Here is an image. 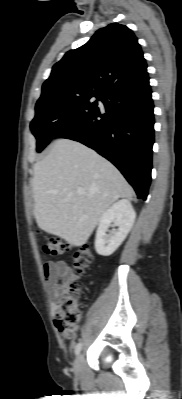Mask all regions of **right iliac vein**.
Returning a JSON list of instances; mask_svg holds the SVG:
<instances>
[{"instance_id": "63e3f726", "label": "right iliac vein", "mask_w": 182, "mask_h": 399, "mask_svg": "<svg viewBox=\"0 0 182 399\" xmlns=\"http://www.w3.org/2000/svg\"><path fill=\"white\" fill-rule=\"evenodd\" d=\"M84 366V356L83 354H79L74 362V373L76 376H80Z\"/></svg>"}]
</instances>
